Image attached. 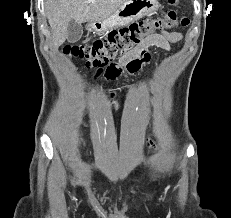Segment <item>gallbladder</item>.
<instances>
[{
	"mask_svg": "<svg viewBox=\"0 0 231 218\" xmlns=\"http://www.w3.org/2000/svg\"><path fill=\"white\" fill-rule=\"evenodd\" d=\"M83 34V27L81 24L77 23L74 20H71L68 24V42L75 43L77 42Z\"/></svg>",
	"mask_w": 231,
	"mask_h": 218,
	"instance_id": "gallbladder-1",
	"label": "gallbladder"
}]
</instances>
